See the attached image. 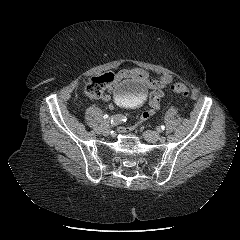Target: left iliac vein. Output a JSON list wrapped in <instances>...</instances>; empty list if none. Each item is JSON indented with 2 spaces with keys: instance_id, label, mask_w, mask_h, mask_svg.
<instances>
[{
  "instance_id": "1",
  "label": "left iliac vein",
  "mask_w": 240,
  "mask_h": 240,
  "mask_svg": "<svg viewBox=\"0 0 240 240\" xmlns=\"http://www.w3.org/2000/svg\"><path fill=\"white\" fill-rule=\"evenodd\" d=\"M144 138L148 142H156V141L160 140L158 137V133H156L154 131H150V130H147L144 132Z\"/></svg>"
}]
</instances>
